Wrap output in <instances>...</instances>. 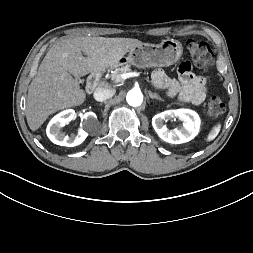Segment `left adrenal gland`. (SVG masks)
Masks as SVG:
<instances>
[{
  "label": "left adrenal gland",
  "mask_w": 253,
  "mask_h": 253,
  "mask_svg": "<svg viewBox=\"0 0 253 253\" xmlns=\"http://www.w3.org/2000/svg\"><path fill=\"white\" fill-rule=\"evenodd\" d=\"M149 96H150L151 99H157V100H160V101H164L158 94L152 93L151 91H149Z\"/></svg>",
  "instance_id": "a2214340"
}]
</instances>
